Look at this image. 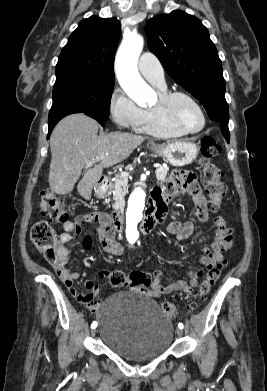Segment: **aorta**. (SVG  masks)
Wrapping results in <instances>:
<instances>
[{"mask_svg":"<svg viewBox=\"0 0 267 391\" xmlns=\"http://www.w3.org/2000/svg\"><path fill=\"white\" fill-rule=\"evenodd\" d=\"M144 39L141 35L128 33L118 49L115 61L116 73L123 91L139 106H145L152 98L151 87L138 72V59ZM145 191L137 187L131 193L126 212V236L134 242L138 238V226L145 206Z\"/></svg>","mask_w":267,"mask_h":391,"instance_id":"aorta-1","label":"aorta"}]
</instances>
